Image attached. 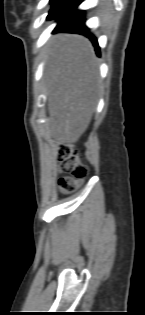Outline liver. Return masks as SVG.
I'll return each mask as SVG.
<instances>
[{"mask_svg":"<svg viewBox=\"0 0 145 315\" xmlns=\"http://www.w3.org/2000/svg\"><path fill=\"white\" fill-rule=\"evenodd\" d=\"M50 135L73 144L88 128L99 91L94 49L82 36L59 35L50 48L45 72Z\"/></svg>","mask_w":145,"mask_h":315,"instance_id":"1","label":"liver"}]
</instances>
